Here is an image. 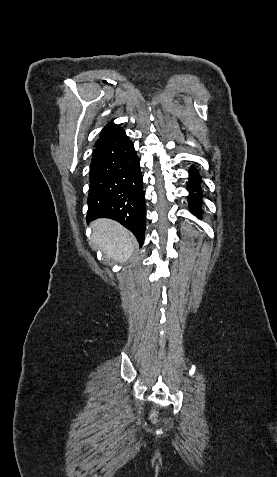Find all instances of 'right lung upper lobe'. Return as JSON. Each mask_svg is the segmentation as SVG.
<instances>
[{"instance_id":"right-lung-upper-lobe-1","label":"right lung upper lobe","mask_w":277,"mask_h":477,"mask_svg":"<svg viewBox=\"0 0 277 477\" xmlns=\"http://www.w3.org/2000/svg\"><path fill=\"white\" fill-rule=\"evenodd\" d=\"M121 129L120 126L114 125L113 123H109L104 129L101 131L99 138L97 139L95 146L102 143L103 141L107 140L111 137L115 132Z\"/></svg>"}]
</instances>
